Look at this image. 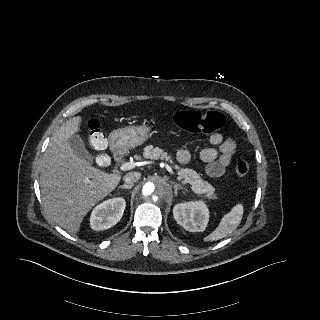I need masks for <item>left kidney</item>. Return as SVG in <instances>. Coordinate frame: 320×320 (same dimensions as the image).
Masks as SVG:
<instances>
[{
  "instance_id": "5707ae66",
  "label": "left kidney",
  "mask_w": 320,
  "mask_h": 320,
  "mask_svg": "<svg viewBox=\"0 0 320 320\" xmlns=\"http://www.w3.org/2000/svg\"><path fill=\"white\" fill-rule=\"evenodd\" d=\"M173 215L176 222L190 232L205 230L209 211L202 201L185 202L174 206Z\"/></svg>"
}]
</instances>
